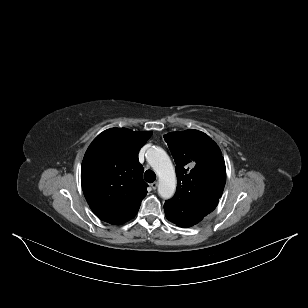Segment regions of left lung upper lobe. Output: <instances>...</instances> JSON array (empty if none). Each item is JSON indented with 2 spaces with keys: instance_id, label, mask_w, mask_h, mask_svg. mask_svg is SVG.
Returning a JSON list of instances; mask_svg holds the SVG:
<instances>
[{
  "instance_id": "obj_1",
  "label": "left lung upper lobe",
  "mask_w": 308,
  "mask_h": 308,
  "mask_svg": "<svg viewBox=\"0 0 308 308\" xmlns=\"http://www.w3.org/2000/svg\"><path fill=\"white\" fill-rule=\"evenodd\" d=\"M177 164V189L164 204L167 219L185 224L202 219L218 205L226 182V167L218 145L198 130L164 136Z\"/></svg>"
}]
</instances>
